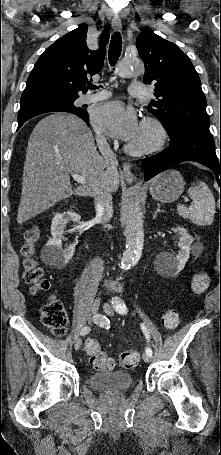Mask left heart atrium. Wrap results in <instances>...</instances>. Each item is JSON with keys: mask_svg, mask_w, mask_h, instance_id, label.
<instances>
[{"mask_svg": "<svg viewBox=\"0 0 221 455\" xmlns=\"http://www.w3.org/2000/svg\"><path fill=\"white\" fill-rule=\"evenodd\" d=\"M92 122L97 130L126 141L132 140L139 130L134 110L117 101L96 107Z\"/></svg>", "mask_w": 221, "mask_h": 455, "instance_id": "39dd6f15", "label": "left heart atrium"}]
</instances>
